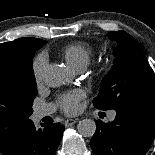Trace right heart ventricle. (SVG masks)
<instances>
[{
  "label": "right heart ventricle",
  "mask_w": 155,
  "mask_h": 155,
  "mask_svg": "<svg viewBox=\"0 0 155 155\" xmlns=\"http://www.w3.org/2000/svg\"><path fill=\"white\" fill-rule=\"evenodd\" d=\"M93 49L85 43H73L63 50V57L74 70H84L91 62Z\"/></svg>",
  "instance_id": "right-heart-ventricle-1"
}]
</instances>
